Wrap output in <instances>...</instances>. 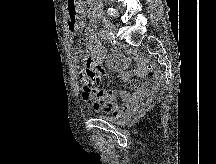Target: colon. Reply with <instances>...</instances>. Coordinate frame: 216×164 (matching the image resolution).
<instances>
[{"label": "colon", "mask_w": 216, "mask_h": 164, "mask_svg": "<svg viewBox=\"0 0 216 164\" xmlns=\"http://www.w3.org/2000/svg\"><path fill=\"white\" fill-rule=\"evenodd\" d=\"M82 67L81 78L83 87L87 90L96 88L101 79V72L85 59L79 60Z\"/></svg>", "instance_id": "5ec220e1"}]
</instances>
